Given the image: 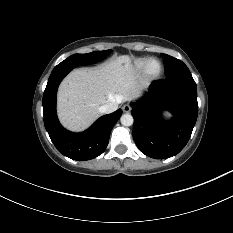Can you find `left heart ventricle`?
<instances>
[{"label": "left heart ventricle", "mask_w": 233, "mask_h": 233, "mask_svg": "<svg viewBox=\"0 0 233 233\" xmlns=\"http://www.w3.org/2000/svg\"><path fill=\"white\" fill-rule=\"evenodd\" d=\"M159 63L158 62H152L151 64H150V67H149V69H150V72L151 73H156L158 70H159Z\"/></svg>", "instance_id": "1"}]
</instances>
